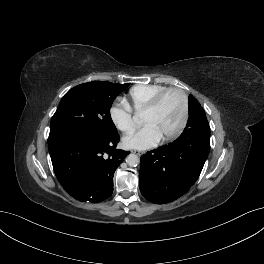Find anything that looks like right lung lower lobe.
<instances>
[{
  "label": "right lung lower lobe",
  "instance_id": "right-lung-lower-lobe-1",
  "mask_svg": "<svg viewBox=\"0 0 264 264\" xmlns=\"http://www.w3.org/2000/svg\"><path fill=\"white\" fill-rule=\"evenodd\" d=\"M119 140L118 134L108 138L70 135L50 142L53 169L62 187L82 202L109 198L114 172L130 153L115 149Z\"/></svg>",
  "mask_w": 264,
  "mask_h": 264
}]
</instances>
